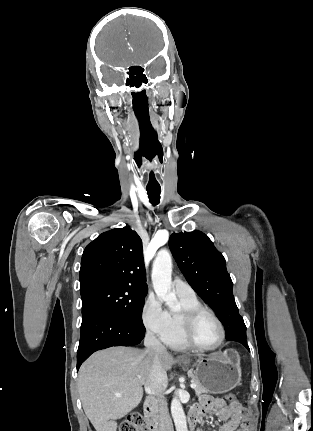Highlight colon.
Masks as SVG:
<instances>
[{"label": "colon", "instance_id": "5ec220e1", "mask_svg": "<svg viewBox=\"0 0 313 431\" xmlns=\"http://www.w3.org/2000/svg\"><path fill=\"white\" fill-rule=\"evenodd\" d=\"M226 399L230 403L237 402V398L234 393H228L226 395ZM145 423V419L141 414L134 413L121 424L119 431H145Z\"/></svg>", "mask_w": 313, "mask_h": 431}]
</instances>
